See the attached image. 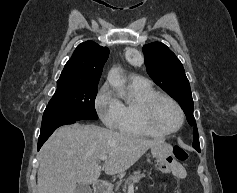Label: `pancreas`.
<instances>
[{"label":"pancreas","mask_w":237,"mask_h":193,"mask_svg":"<svg viewBox=\"0 0 237 193\" xmlns=\"http://www.w3.org/2000/svg\"><path fill=\"white\" fill-rule=\"evenodd\" d=\"M144 173H141L140 170L135 171L132 175H129L128 178L124 181L123 186V190H126L127 186L130 184H134L138 181H140V179L142 177H144ZM121 185V182H117L116 187L118 188Z\"/></svg>","instance_id":"obj_1"}]
</instances>
